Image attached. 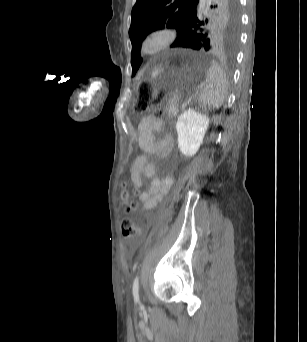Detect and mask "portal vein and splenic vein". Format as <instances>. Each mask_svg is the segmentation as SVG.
Returning <instances> with one entry per match:
<instances>
[{"instance_id":"obj_1","label":"portal vein and splenic vein","mask_w":307,"mask_h":342,"mask_svg":"<svg viewBox=\"0 0 307 342\" xmlns=\"http://www.w3.org/2000/svg\"><path fill=\"white\" fill-rule=\"evenodd\" d=\"M195 91L196 92H193L192 94L197 96L201 90L199 88H197ZM193 95L191 96L192 97V99H191L192 101L194 100L193 99V97H194ZM186 104L188 105L189 103L187 102Z\"/></svg>"}]
</instances>
